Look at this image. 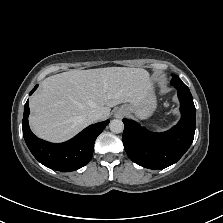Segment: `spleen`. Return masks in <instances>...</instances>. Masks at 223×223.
I'll return each instance as SVG.
<instances>
[{"label": "spleen", "mask_w": 223, "mask_h": 223, "mask_svg": "<svg viewBox=\"0 0 223 223\" xmlns=\"http://www.w3.org/2000/svg\"><path fill=\"white\" fill-rule=\"evenodd\" d=\"M145 126L150 127V128H152V129H154L156 131H161L162 130L161 126H159L157 124H154V123L147 122V123H145Z\"/></svg>", "instance_id": "3e777b00"}]
</instances>
